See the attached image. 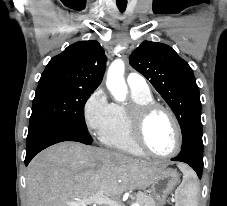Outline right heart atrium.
<instances>
[{"label":"right heart atrium","instance_id":"right-heart-atrium-1","mask_svg":"<svg viewBox=\"0 0 227 206\" xmlns=\"http://www.w3.org/2000/svg\"><path fill=\"white\" fill-rule=\"evenodd\" d=\"M83 114L88 131L101 137L110 126L113 116V103L108 100L102 88H97L88 97Z\"/></svg>","mask_w":227,"mask_h":206}]
</instances>
